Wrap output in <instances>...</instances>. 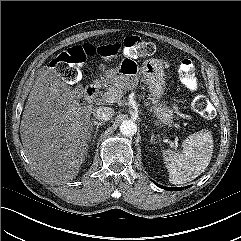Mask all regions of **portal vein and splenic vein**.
<instances>
[{"instance_id": "18ae733b", "label": "portal vein and splenic vein", "mask_w": 241, "mask_h": 241, "mask_svg": "<svg viewBox=\"0 0 241 241\" xmlns=\"http://www.w3.org/2000/svg\"><path fill=\"white\" fill-rule=\"evenodd\" d=\"M120 97H121L120 94H117V93L111 94L106 92L102 95L101 99L102 101H105L107 103H115L120 99Z\"/></svg>"}]
</instances>
